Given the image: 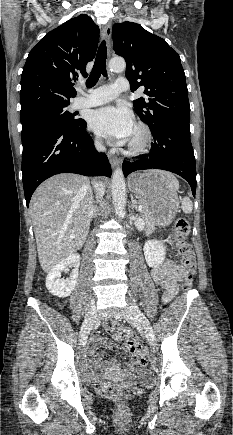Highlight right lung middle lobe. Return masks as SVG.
Wrapping results in <instances>:
<instances>
[{
  "instance_id": "right-lung-middle-lobe-1",
  "label": "right lung middle lobe",
  "mask_w": 233,
  "mask_h": 435,
  "mask_svg": "<svg viewBox=\"0 0 233 435\" xmlns=\"http://www.w3.org/2000/svg\"><path fill=\"white\" fill-rule=\"evenodd\" d=\"M67 106L68 105L43 108L20 116L22 124L21 134L46 125H59L69 128L79 126L81 122H83V119H76L73 114L66 110Z\"/></svg>"
}]
</instances>
